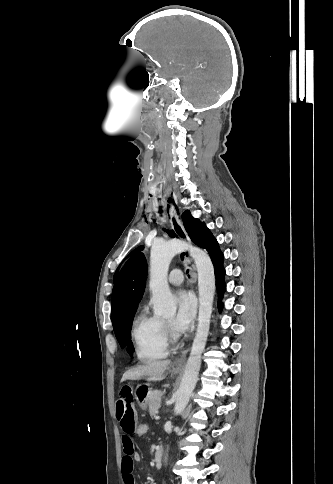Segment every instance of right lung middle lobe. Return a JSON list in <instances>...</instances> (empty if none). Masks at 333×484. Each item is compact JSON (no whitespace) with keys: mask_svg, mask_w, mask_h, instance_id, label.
<instances>
[{"mask_svg":"<svg viewBox=\"0 0 333 484\" xmlns=\"http://www.w3.org/2000/svg\"><path fill=\"white\" fill-rule=\"evenodd\" d=\"M133 316H134V313L128 316L122 322V324L117 329H115V335L117 340L120 343L121 348L127 347L128 352L131 356L133 355V344L131 342L130 329H131Z\"/></svg>","mask_w":333,"mask_h":484,"instance_id":"right-lung-middle-lobe-1","label":"right lung middle lobe"}]
</instances>
